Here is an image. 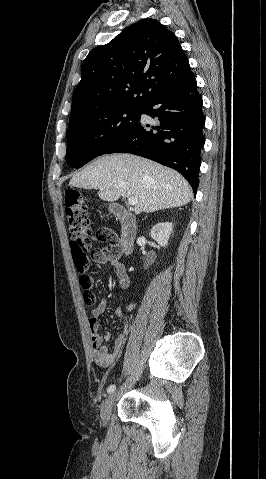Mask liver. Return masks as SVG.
<instances>
[{
    "mask_svg": "<svg viewBox=\"0 0 266 479\" xmlns=\"http://www.w3.org/2000/svg\"><path fill=\"white\" fill-rule=\"evenodd\" d=\"M69 186L99 190L98 196L109 202L136 197V213L180 207L193 196L189 183L177 171L131 154L97 158L74 175Z\"/></svg>",
    "mask_w": 266,
    "mask_h": 479,
    "instance_id": "6515ba94",
    "label": "liver"
}]
</instances>
